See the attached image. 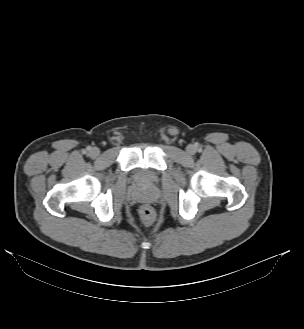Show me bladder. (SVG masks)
I'll use <instances>...</instances> for the list:
<instances>
[{"instance_id":"bladder-1","label":"bladder","mask_w":304,"mask_h":329,"mask_svg":"<svg viewBox=\"0 0 304 329\" xmlns=\"http://www.w3.org/2000/svg\"><path fill=\"white\" fill-rule=\"evenodd\" d=\"M137 180L143 182H153L156 176L146 169H140L137 171Z\"/></svg>"}]
</instances>
